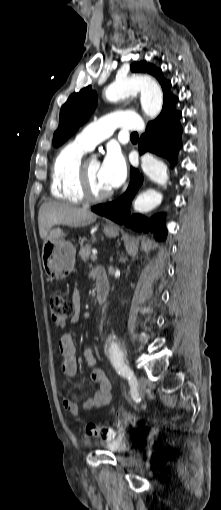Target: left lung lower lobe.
Instances as JSON below:
<instances>
[{
	"label": "left lung lower lobe",
	"instance_id": "left-lung-lower-lobe-1",
	"mask_svg": "<svg viewBox=\"0 0 221 510\" xmlns=\"http://www.w3.org/2000/svg\"><path fill=\"white\" fill-rule=\"evenodd\" d=\"M181 116L180 111L170 110L156 120L149 122L145 134L140 138L139 152L142 154L145 151H150L162 156L173 167L177 163V154L182 147L181 134L183 129L180 125ZM142 182V175L137 169L131 167L130 183L125 193L115 201L94 206L91 210L116 223L125 224L135 231L154 232V237L158 241H163L167 236L163 214H156L149 219L140 214L130 217L129 208L132 199Z\"/></svg>",
	"mask_w": 221,
	"mask_h": 510
}]
</instances>
